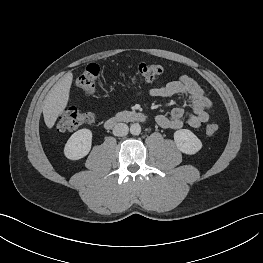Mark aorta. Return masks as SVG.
Listing matches in <instances>:
<instances>
[{
  "mask_svg": "<svg viewBox=\"0 0 263 263\" xmlns=\"http://www.w3.org/2000/svg\"><path fill=\"white\" fill-rule=\"evenodd\" d=\"M141 132V126L138 123H134L130 126V133L132 135H139Z\"/></svg>",
  "mask_w": 263,
  "mask_h": 263,
  "instance_id": "762f6f07",
  "label": "aorta"
}]
</instances>
